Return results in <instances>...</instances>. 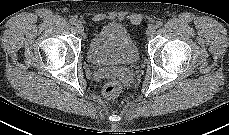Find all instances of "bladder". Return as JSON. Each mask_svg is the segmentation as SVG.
<instances>
[{"mask_svg": "<svg viewBox=\"0 0 229 135\" xmlns=\"http://www.w3.org/2000/svg\"><path fill=\"white\" fill-rule=\"evenodd\" d=\"M140 57L139 49L125 26L108 23L90 40L87 58L96 66L134 65Z\"/></svg>", "mask_w": 229, "mask_h": 135, "instance_id": "1", "label": "bladder"}]
</instances>
